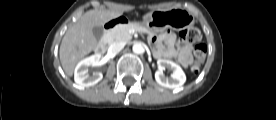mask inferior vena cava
<instances>
[{"mask_svg":"<svg viewBox=\"0 0 276 120\" xmlns=\"http://www.w3.org/2000/svg\"><path fill=\"white\" fill-rule=\"evenodd\" d=\"M125 46L124 42H117V43H113L109 49H108V53L112 54V55H116L118 52H120Z\"/></svg>","mask_w":276,"mask_h":120,"instance_id":"1","label":"inferior vena cava"}]
</instances>
